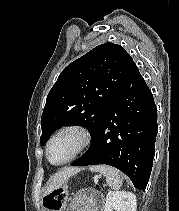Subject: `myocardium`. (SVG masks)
I'll return each mask as SVG.
<instances>
[{"mask_svg": "<svg viewBox=\"0 0 179 211\" xmlns=\"http://www.w3.org/2000/svg\"><path fill=\"white\" fill-rule=\"evenodd\" d=\"M65 133H73L77 136L78 138L77 146L69 158H67L66 160L60 163H53L49 158V148L52 142L57 137ZM90 142H91V134H90L89 129L86 126L79 123H69V124L63 125L59 129H57L47 141L46 147H45L46 159L53 166L66 165L70 163L71 161H73L76 157H78L89 146Z\"/></svg>", "mask_w": 179, "mask_h": 211, "instance_id": "1", "label": "myocardium"}]
</instances>
